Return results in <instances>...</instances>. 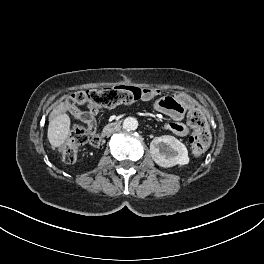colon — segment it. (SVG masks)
Segmentation results:
<instances>
[{"instance_id":"5ec220e1","label":"colon","mask_w":264,"mask_h":264,"mask_svg":"<svg viewBox=\"0 0 264 264\" xmlns=\"http://www.w3.org/2000/svg\"><path fill=\"white\" fill-rule=\"evenodd\" d=\"M144 95V90L130 86L103 87L85 91H77L68 96L66 103L69 107L87 105L95 108H114L119 105H130ZM188 123L193 128L189 142L194 155L203 154L211 142V134L205 115L198 108L188 112ZM91 140L89 130L75 126L65 143L60 147L62 158L67 163H74L78 158L79 149Z\"/></svg>"}]
</instances>
